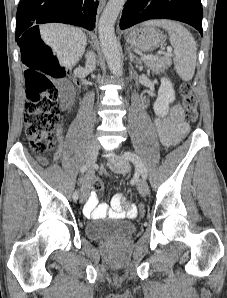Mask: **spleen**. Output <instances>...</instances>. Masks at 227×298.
Masks as SVG:
<instances>
[{
    "mask_svg": "<svg viewBox=\"0 0 227 298\" xmlns=\"http://www.w3.org/2000/svg\"><path fill=\"white\" fill-rule=\"evenodd\" d=\"M145 24L164 28L174 48V65L181 79H192L196 67V42L192 34L181 24L171 20H152Z\"/></svg>",
    "mask_w": 227,
    "mask_h": 298,
    "instance_id": "spleen-1",
    "label": "spleen"
}]
</instances>
